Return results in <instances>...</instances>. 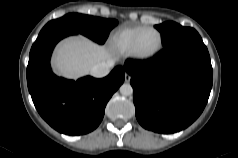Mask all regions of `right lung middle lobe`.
<instances>
[{
    "label": "right lung middle lobe",
    "instance_id": "dd1d6c3e",
    "mask_svg": "<svg viewBox=\"0 0 238 158\" xmlns=\"http://www.w3.org/2000/svg\"><path fill=\"white\" fill-rule=\"evenodd\" d=\"M117 20L70 13L59 19L48 22L40 33L50 29H67L83 34L90 39L103 44L112 28L117 25Z\"/></svg>",
    "mask_w": 238,
    "mask_h": 158
}]
</instances>
